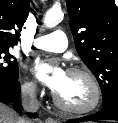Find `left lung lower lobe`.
I'll return each instance as SVG.
<instances>
[{
	"mask_svg": "<svg viewBox=\"0 0 118 123\" xmlns=\"http://www.w3.org/2000/svg\"><path fill=\"white\" fill-rule=\"evenodd\" d=\"M94 120H116L118 121V98H115L111 103L104 105L103 108L89 116L68 120L67 123H78Z\"/></svg>",
	"mask_w": 118,
	"mask_h": 123,
	"instance_id": "obj_1",
	"label": "left lung lower lobe"
}]
</instances>
